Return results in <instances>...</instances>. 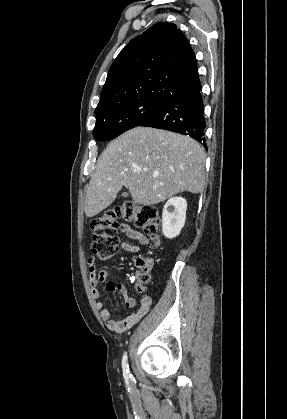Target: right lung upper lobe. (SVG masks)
I'll return each mask as SVG.
<instances>
[{"instance_id": "1", "label": "right lung upper lobe", "mask_w": 287, "mask_h": 419, "mask_svg": "<svg viewBox=\"0 0 287 419\" xmlns=\"http://www.w3.org/2000/svg\"><path fill=\"white\" fill-rule=\"evenodd\" d=\"M199 86L197 59L188 40L176 25L160 22L119 53L95 114L138 100L165 102Z\"/></svg>"}]
</instances>
